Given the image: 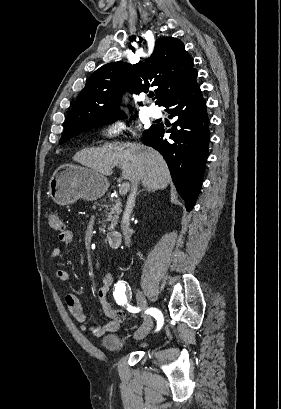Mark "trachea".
Listing matches in <instances>:
<instances>
[{
    "instance_id": "obj_1",
    "label": "trachea",
    "mask_w": 281,
    "mask_h": 409,
    "mask_svg": "<svg viewBox=\"0 0 281 409\" xmlns=\"http://www.w3.org/2000/svg\"><path fill=\"white\" fill-rule=\"evenodd\" d=\"M149 97H154V94H150Z\"/></svg>"
}]
</instances>
